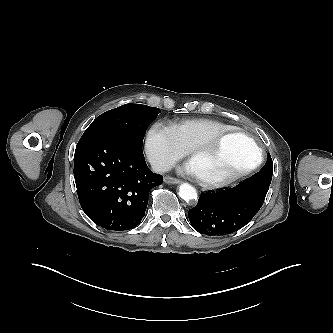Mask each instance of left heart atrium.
<instances>
[{
	"mask_svg": "<svg viewBox=\"0 0 333 333\" xmlns=\"http://www.w3.org/2000/svg\"><path fill=\"white\" fill-rule=\"evenodd\" d=\"M186 171H187V172H190V173H194V170H193L191 164H188V165L186 166Z\"/></svg>",
	"mask_w": 333,
	"mask_h": 333,
	"instance_id": "39dd6f15",
	"label": "left heart atrium"
}]
</instances>
